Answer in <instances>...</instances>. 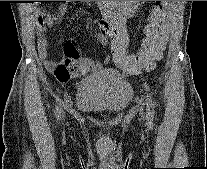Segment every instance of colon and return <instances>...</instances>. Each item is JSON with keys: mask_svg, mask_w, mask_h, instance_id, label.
Returning <instances> with one entry per match:
<instances>
[{"mask_svg": "<svg viewBox=\"0 0 207 169\" xmlns=\"http://www.w3.org/2000/svg\"><path fill=\"white\" fill-rule=\"evenodd\" d=\"M170 1H156L154 7L147 17L144 28L145 38L141 48L129 54L127 52L128 42L120 40L115 44H110L112 56L116 66L130 72L137 73L143 69L155 67L157 60L161 58L167 41V21ZM114 34L111 32H101V39L112 40Z\"/></svg>", "mask_w": 207, "mask_h": 169, "instance_id": "colon-1", "label": "colon"}]
</instances>
